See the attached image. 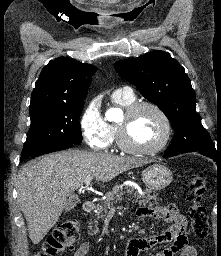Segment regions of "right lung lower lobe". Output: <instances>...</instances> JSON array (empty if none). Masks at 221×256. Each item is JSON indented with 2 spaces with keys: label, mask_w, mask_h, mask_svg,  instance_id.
Here are the masks:
<instances>
[{
  "label": "right lung lower lobe",
  "mask_w": 221,
  "mask_h": 256,
  "mask_svg": "<svg viewBox=\"0 0 221 256\" xmlns=\"http://www.w3.org/2000/svg\"><path fill=\"white\" fill-rule=\"evenodd\" d=\"M74 144H68V143H63V144H57L51 147H48L46 149L41 150L40 152H38L37 154L31 156V157H37L43 154H47V153H51V152H55V151H60V150H64V149H68L71 148Z\"/></svg>",
  "instance_id": "1"
}]
</instances>
